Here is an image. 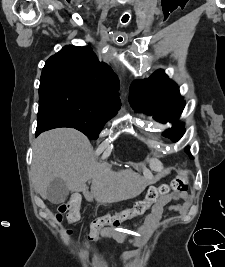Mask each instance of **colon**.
Instances as JSON below:
<instances>
[{
	"instance_id": "5ec220e1",
	"label": "colon",
	"mask_w": 225,
	"mask_h": 267,
	"mask_svg": "<svg viewBox=\"0 0 225 267\" xmlns=\"http://www.w3.org/2000/svg\"><path fill=\"white\" fill-rule=\"evenodd\" d=\"M189 187V180L185 171H178L175 178L170 184L152 186L148 189L145 198L134 204L133 207L127 208L119 213L110 212L107 215L96 218L91 223V232L93 235L104 234L103 230L106 227H117L127 219L144 214L152 204L159 198L168 195L169 193H182ZM80 205L81 199L78 196H73L68 202L62 203L58 207L56 215L58 220H61L63 214H66V219L69 223H75L80 220ZM71 232V231H69ZM92 237L89 235L85 244L91 243Z\"/></svg>"
}]
</instances>
